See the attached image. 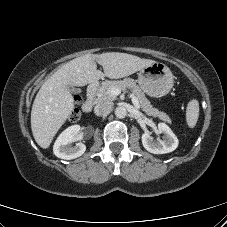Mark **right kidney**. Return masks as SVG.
Masks as SVG:
<instances>
[{
	"label": "right kidney",
	"mask_w": 227,
	"mask_h": 227,
	"mask_svg": "<svg viewBox=\"0 0 227 227\" xmlns=\"http://www.w3.org/2000/svg\"><path fill=\"white\" fill-rule=\"evenodd\" d=\"M80 130V125H72L58 136L53 146L55 156L65 160H71L84 154L86 151L85 144L78 142L75 146L71 145L72 142L78 139Z\"/></svg>",
	"instance_id": "obj_1"
}]
</instances>
